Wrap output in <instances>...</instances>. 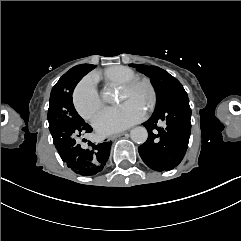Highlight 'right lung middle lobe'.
Here are the masks:
<instances>
[{
    "mask_svg": "<svg viewBox=\"0 0 241 241\" xmlns=\"http://www.w3.org/2000/svg\"><path fill=\"white\" fill-rule=\"evenodd\" d=\"M95 67L93 65L92 68ZM79 68L80 65H77L65 73L52 88L50 94L48 122L54 144L57 143L62 133H74L84 123L72 101V92L75 88L73 81Z\"/></svg>",
    "mask_w": 241,
    "mask_h": 241,
    "instance_id": "1",
    "label": "right lung middle lobe"
}]
</instances>
